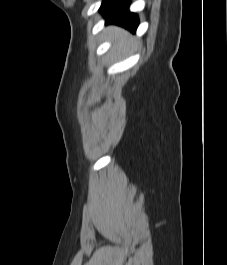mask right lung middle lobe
<instances>
[{
	"mask_svg": "<svg viewBox=\"0 0 227 265\" xmlns=\"http://www.w3.org/2000/svg\"><path fill=\"white\" fill-rule=\"evenodd\" d=\"M108 0H104V2L102 3V6L107 2Z\"/></svg>",
	"mask_w": 227,
	"mask_h": 265,
	"instance_id": "obj_1",
	"label": "right lung middle lobe"
}]
</instances>
